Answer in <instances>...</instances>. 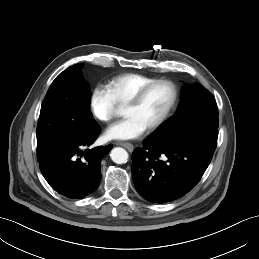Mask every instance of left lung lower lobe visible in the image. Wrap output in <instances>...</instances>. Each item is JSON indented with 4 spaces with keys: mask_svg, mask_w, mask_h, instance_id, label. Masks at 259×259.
I'll return each instance as SVG.
<instances>
[{
    "mask_svg": "<svg viewBox=\"0 0 259 259\" xmlns=\"http://www.w3.org/2000/svg\"><path fill=\"white\" fill-rule=\"evenodd\" d=\"M218 131L190 130L170 142L150 137L132 154V176L146 200L166 203L188 193L201 179L217 146Z\"/></svg>",
    "mask_w": 259,
    "mask_h": 259,
    "instance_id": "0a47b994",
    "label": "left lung lower lobe"
}]
</instances>
